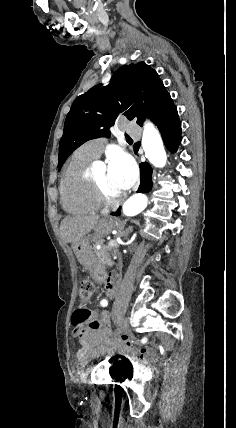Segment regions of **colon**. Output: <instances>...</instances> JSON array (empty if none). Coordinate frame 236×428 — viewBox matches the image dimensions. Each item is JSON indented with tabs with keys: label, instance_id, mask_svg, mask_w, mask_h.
<instances>
[{
	"label": "colon",
	"instance_id": "obj_1",
	"mask_svg": "<svg viewBox=\"0 0 236 428\" xmlns=\"http://www.w3.org/2000/svg\"><path fill=\"white\" fill-rule=\"evenodd\" d=\"M93 292V283L89 279H82L79 285V297L81 300H87ZM89 322L91 326H97L98 320L95 315L92 314L84 306L77 308L72 315V325L74 331L79 332L83 329L85 323Z\"/></svg>",
	"mask_w": 236,
	"mask_h": 428
}]
</instances>
